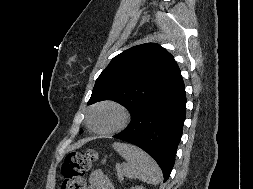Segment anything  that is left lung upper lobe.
Here are the masks:
<instances>
[{
    "label": "left lung upper lobe",
    "mask_w": 253,
    "mask_h": 189,
    "mask_svg": "<svg viewBox=\"0 0 253 189\" xmlns=\"http://www.w3.org/2000/svg\"><path fill=\"white\" fill-rule=\"evenodd\" d=\"M173 56L155 43H146L115 56L97 78L88 104L113 100L134 116L180 77Z\"/></svg>",
    "instance_id": "5c2ea615"
}]
</instances>
